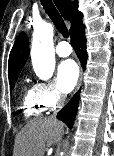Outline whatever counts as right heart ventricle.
<instances>
[{"instance_id":"right-heart-ventricle-1","label":"right heart ventricle","mask_w":114,"mask_h":156,"mask_svg":"<svg viewBox=\"0 0 114 156\" xmlns=\"http://www.w3.org/2000/svg\"><path fill=\"white\" fill-rule=\"evenodd\" d=\"M22 109L28 118L38 117L43 114L45 107L38 100L35 87H25L22 96Z\"/></svg>"}]
</instances>
